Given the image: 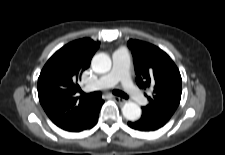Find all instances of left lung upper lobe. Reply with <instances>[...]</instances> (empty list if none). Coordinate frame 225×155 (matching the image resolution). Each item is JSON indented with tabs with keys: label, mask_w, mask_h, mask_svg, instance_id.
Here are the masks:
<instances>
[{
	"label": "left lung upper lobe",
	"mask_w": 225,
	"mask_h": 155,
	"mask_svg": "<svg viewBox=\"0 0 225 155\" xmlns=\"http://www.w3.org/2000/svg\"><path fill=\"white\" fill-rule=\"evenodd\" d=\"M136 73V83L151 88L152 96L142 112L163 113L172 116L176 111L182 92L180 72L172 59L160 48L149 43L130 39Z\"/></svg>",
	"instance_id": "5c2ea615"
}]
</instances>
